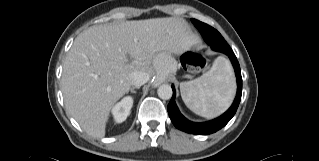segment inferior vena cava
<instances>
[{"label": "inferior vena cava", "mask_w": 319, "mask_h": 161, "mask_svg": "<svg viewBox=\"0 0 319 161\" xmlns=\"http://www.w3.org/2000/svg\"><path fill=\"white\" fill-rule=\"evenodd\" d=\"M129 77L131 85L135 87H140L149 80V74L143 71H134Z\"/></svg>", "instance_id": "obj_1"}]
</instances>
